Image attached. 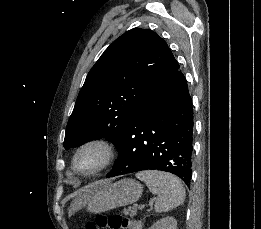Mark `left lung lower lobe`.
<instances>
[{
	"label": "left lung lower lobe",
	"instance_id": "1",
	"mask_svg": "<svg viewBox=\"0 0 261 229\" xmlns=\"http://www.w3.org/2000/svg\"><path fill=\"white\" fill-rule=\"evenodd\" d=\"M193 111L186 78L178 69L159 84L130 122L106 177L157 169L191 180Z\"/></svg>",
	"mask_w": 261,
	"mask_h": 229
}]
</instances>
